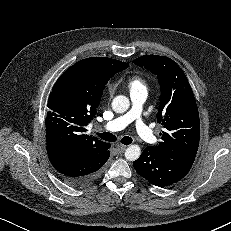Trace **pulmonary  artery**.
Here are the masks:
<instances>
[{
  "mask_svg": "<svg viewBox=\"0 0 231 231\" xmlns=\"http://www.w3.org/2000/svg\"><path fill=\"white\" fill-rule=\"evenodd\" d=\"M148 96L147 91H139L130 94L131 108L125 114L109 121L104 125V129L110 132H116L124 129L132 122H135L138 136L149 143L156 141L153 130L148 127L141 119L142 106Z\"/></svg>",
  "mask_w": 231,
  "mask_h": 231,
  "instance_id": "obj_1",
  "label": "pulmonary artery"
}]
</instances>
